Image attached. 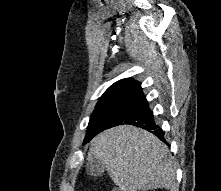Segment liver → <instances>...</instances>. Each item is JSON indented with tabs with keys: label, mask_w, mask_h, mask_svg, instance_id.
I'll use <instances>...</instances> for the list:
<instances>
[{
	"label": "liver",
	"mask_w": 221,
	"mask_h": 191,
	"mask_svg": "<svg viewBox=\"0 0 221 191\" xmlns=\"http://www.w3.org/2000/svg\"><path fill=\"white\" fill-rule=\"evenodd\" d=\"M168 147L156 136L132 125L106 130L91 141L87 160L102 162L122 191L176 187V169Z\"/></svg>",
	"instance_id": "6515ba94"
}]
</instances>
